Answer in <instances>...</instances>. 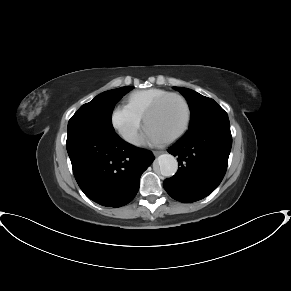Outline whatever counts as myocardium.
<instances>
[{
  "instance_id": "f54148a6",
  "label": "myocardium",
  "mask_w": 291,
  "mask_h": 291,
  "mask_svg": "<svg viewBox=\"0 0 291 291\" xmlns=\"http://www.w3.org/2000/svg\"><path fill=\"white\" fill-rule=\"evenodd\" d=\"M171 97H175L177 99H179L185 109V119L184 122L182 124V126L175 131L174 133H172L170 136H168L167 138H165V141H171L174 140L178 137H180L182 134H184L186 132V130L188 129L190 122H191V108L190 105L187 101V99L182 96L179 93H175V92H169L161 97H159L157 100H155L152 105L147 109V111L145 112L144 116H143V121L144 123L147 125L148 119L150 118V116L159 109V107L169 98Z\"/></svg>"
}]
</instances>
